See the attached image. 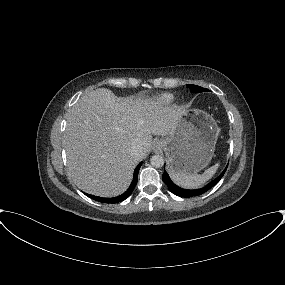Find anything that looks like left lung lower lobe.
Segmentation results:
<instances>
[{"label":"left lung lower lobe","instance_id":"left-lung-lower-lobe-1","mask_svg":"<svg viewBox=\"0 0 285 285\" xmlns=\"http://www.w3.org/2000/svg\"><path fill=\"white\" fill-rule=\"evenodd\" d=\"M227 167L225 168V170L213 181H211L209 184H207L205 187L200 188V189H195V190H188V189H183L178 187L177 185H175L169 175L167 174V172L164 170V174L162 176V180L163 182L167 185L168 189L175 195L180 196V197H193V196H198L201 195L205 192H207L209 189H211L214 185H216L219 180L223 177L225 171H226Z\"/></svg>","mask_w":285,"mask_h":285}]
</instances>
